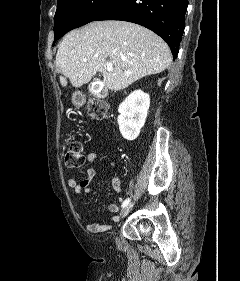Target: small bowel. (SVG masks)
<instances>
[{"label":"small bowel","instance_id":"1","mask_svg":"<svg viewBox=\"0 0 240 281\" xmlns=\"http://www.w3.org/2000/svg\"><path fill=\"white\" fill-rule=\"evenodd\" d=\"M97 153L89 152L86 156L88 162H94L97 159ZM107 164L109 167H114V161L107 159ZM96 176V170L94 168L88 167L85 170V177L78 180L76 177H70L68 179V186L73 189L75 194L90 193L92 191V181ZM112 187L115 192L121 193V182L118 176H114L112 179ZM119 205L111 203L108 205V210L112 213H116L119 210ZM119 217L114 216L113 221H118ZM87 230L91 233H101L105 232L111 228L110 225L99 224V223H88L86 226Z\"/></svg>","mask_w":240,"mask_h":281}]
</instances>
